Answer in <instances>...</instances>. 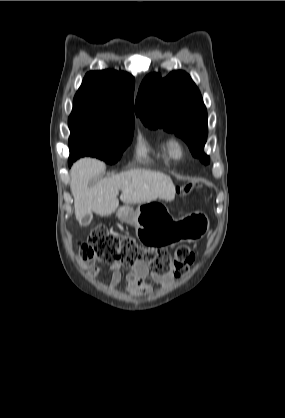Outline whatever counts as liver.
<instances>
[{
    "label": "liver",
    "mask_w": 285,
    "mask_h": 418,
    "mask_svg": "<svg viewBox=\"0 0 285 418\" xmlns=\"http://www.w3.org/2000/svg\"><path fill=\"white\" fill-rule=\"evenodd\" d=\"M105 168L103 162L93 158H82L71 168L70 188L74 197L75 216L79 222L91 212L100 216L114 213L119 206V190L120 200L125 204L149 203L157 198L171 201L175 198V186L169 176L145 169H132L103 178L89 187V181Z\"/></svg>",
    "instance_id": "obj_1"
}]
</instances>
